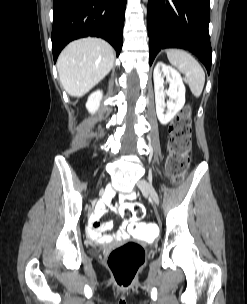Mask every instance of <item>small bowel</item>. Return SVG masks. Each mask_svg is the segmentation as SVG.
Here are the masks:
<instances>
[{
	"instance_id": "c3829d8e",
	"label": "small bowel",
	"mask_w": 247,
	"mask_h": 304,
	"mask_svg": "<svg viewBox=\"0 0 247 304\" xmlns=\"http://www.w3.org/2000/svg\"><path fill=\"white\" fill-rule=\"evenodd\" d=\"M134 197V194L125 195V199H131ZM106 208V203H99L95 212L91 216V223L87 230L88 237L91 241L96 243H109L114 239L124 238L127 234V231L130 230V225L128 222H124L120 230L116 235L104 234L103 232L109 230L112 227L111 222H101L100 218L104 214Z\"/></svg>"
}]
</instances>
